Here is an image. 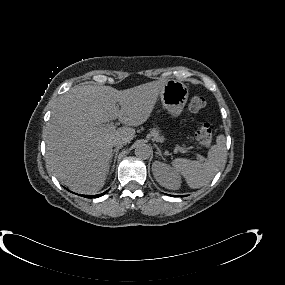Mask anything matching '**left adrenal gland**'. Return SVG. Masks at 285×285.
Listing matches in <instances>:
<instances>
[{
	"label": "left adrenal gland",
	"instance_id": "left-adrenal-gland-1",
	"mask_svg": "<svg viewBox=\"0 0 285 285\" xmlns=\"http://www.w3.org/2000/svg\"><path fill=\"white\" fill-rule=\"evenodd\" d=\"M156 149H157L156 154H158V155L162 156V152H161V150L159 149V147H158V146H156Z\"/></svg>",
	"mask_w": 285,
	"mask_h": 285
}]
</instances>
